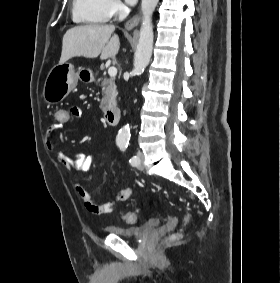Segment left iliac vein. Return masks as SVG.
Instances as JSON below:
<instances>
[{
    "instance_id": "obj_1",
    "label": "left iliac vein",
    "mask_w": 280,
    "mask_h": 283,
    "mask_svg": "<svg viewBox=\"0 0 280 283\" xmlns=\"http://www.w3.org/2000/svg\"><path fill=\"white\" fill-rule=\"evenodd\" d=\"M137 156L139 158V161H138V164L136 166L139 170H143L144 169V164H143L144 154L141 151H139L137 153Z\"/></svg>"
}]
</instances>
